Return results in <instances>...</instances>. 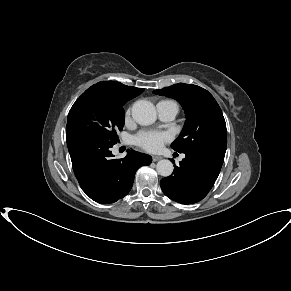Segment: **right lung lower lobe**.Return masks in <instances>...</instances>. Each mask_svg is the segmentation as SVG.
<instances>
[{"label":"right lung lower lobe","instance_id":"obj_1","mask_svg":"<svg viewBox=\"0 0 291 291\" xmlns=\"http://www.w3.org/2000/svg\"><path fill=\"white\" fill-rule=\"evenodd\" d=\"M73 170L82 190L98 203H113L131 190L138 168L152 162L151 156L129 150L114 159L108 145L94 137L66 135Z\"/></svg>","mask_w":291,"mask_h":291}]
</instances>
